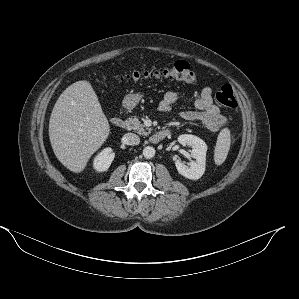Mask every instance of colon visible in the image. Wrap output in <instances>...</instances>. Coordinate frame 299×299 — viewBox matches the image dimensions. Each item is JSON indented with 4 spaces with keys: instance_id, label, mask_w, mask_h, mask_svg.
Wrapping results in <instances>:
<instances>
[{
    "instance_id": "colon-1",
    "label": "colon",
    "mask_w": 299,
    "mask_h": 299,
    "mask_svg": "<svg viewBox=\"0 0 299 299\" xmlns=\"http://www.w3.org/2000/svg\"><path fill=\"white\" fill-rule=\"evenodd\" d=\"M142 79L162 80L174 79L187 83H193L197 80V74L190 68L188 62L178 60L169 62L163 67L134 70L125 76L120 77V81H138ZM217 101L229 111H235L238 103L233 89L230 85H223L216 93Z\"/></svg>"
}]
</instances>
